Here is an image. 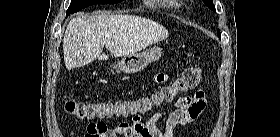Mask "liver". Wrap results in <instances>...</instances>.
Returning a JSON list of instances; mask_svg holds the SVG:
<instances>
[{"label":"liver","mask_w":280,"mask_h":137,"mask_svg":"<svg viewBox=\"0 0 280 137\" xmlns=\"http://www.w3.org/2000/svg\"><path fill=\"white\" fill-rule=\"evenodd\" d=\"M168 31L159 23L132 15H96L71 19L63 38L67 70L92 61L107 60L104 46L114 57L137 53L167 38Z\"/></svg>","instance_id":"6515ba94"}]
</instances>
